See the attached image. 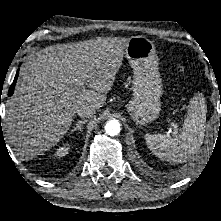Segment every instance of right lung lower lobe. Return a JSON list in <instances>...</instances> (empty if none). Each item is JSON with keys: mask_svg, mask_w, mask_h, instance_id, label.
<instances>
[{"mask_svg": "<svg viewBox=\"0 0 221 221\" xmlns=\"http://www.w3.org/2000/svg\"><path fill=\"white\" fill-rule=\"evenodd\" d=\"M17 77H18V74H16V76L14 78V81H13L12 85L10 86V89H9V92H8V96H11L13 94V91H14V88H15V84H16V81H17Z\"/></svg>", "mask_w": 221, "mask_h": 221, "instance_id": "98d812e1", "label": "right lung lower lobe"}]
</instances>
